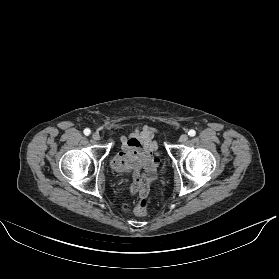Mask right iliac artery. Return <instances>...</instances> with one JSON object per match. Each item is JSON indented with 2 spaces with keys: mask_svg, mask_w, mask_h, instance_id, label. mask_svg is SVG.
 <instances>
[{
  "mask_svg": "<svg viewBox=\"0 0 279 279\" xmlns=\"http://www.w3.org/2000/svg\"><path fill=\"white\" fill-rule=\"evenodd\" d=\"M91 133L89 128L84 129V134L88 136Z\"/></svg>",
  "mask_w": 279,
  "mask_h": 279,
  "instance_id": "82829eb1",
  "label": "right iliac artery"
}]
</instances>
